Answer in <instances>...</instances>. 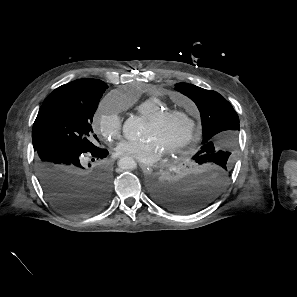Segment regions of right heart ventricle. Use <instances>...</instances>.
<instances>
[{"label":"right heart ventricle","instance_id":"right-heart-ventricle-1","mask_svg":"<svg viewBox=\"0 0 297 297\" xmlns=\"http://www.w3.org/2000/svg\"><path fill=\"white\" fill-rule=\"evenodd\" d=\"M167 110L166 102L159 97H149L137 105V111L147 120Z\"/></svg>","mask_w":297,"mask_h":297}]
</instances>
